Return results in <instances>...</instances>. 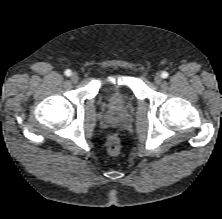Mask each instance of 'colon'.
I'll use <instances>...</instances> for the list:
<instances>
[{
  "instance_id": "obj_1",
  "label": "colon",
  "mask_w": 222,
  "mask_h": 219,
  "mask_svg": "<svg viewBox=\"0 0 222 219\" xmlns=\"http://www.w3.org/2000/svg\"><path fill=\"white\" fill-rule=\"evenodd\" d=\"M107 151L111 156H117L121 150V140L118 135L112 134L106 142Z\"/></svg>"
}]
</instances>
